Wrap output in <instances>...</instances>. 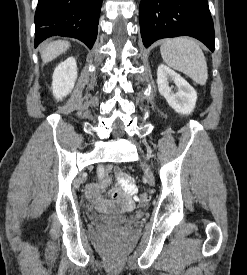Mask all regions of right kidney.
<instances>
[{"mask_svg": "<svg viewBox=\"0 0 247 275\" xmlns=\"http://www.w3.org/2000/svg\"><path fill=\"white\" fill-rule=\"evenodd\" d=\"M52 91L57 100L71 93L77 79V64L74 57L67 58L54 70L52 77Z\"/></svg>", "mask_w": 247, "mask_h": 275, "instance_id": "right-kidney-1", "label": "right kidney"}]
</instances>
